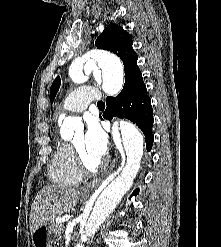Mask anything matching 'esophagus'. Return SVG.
Returning <instances> with one entry per match:
<instances>
[{
	"label": "esophagus",
	"instance_id": "obj_1",
	"mask_svg": "<svg viewBox=\"0 0 221 247\" xmlns=\"http://www.w3.org/2000/svg\"><path fill=\"white\" fill-rule=\"evenodd\" d=\"M113 167H114V164L110 167V169H109V171L107 173H109L112 170ZM102 177L103 176H101L99 178H96V179L92 180L89 184L85 185L82 188V192L83 193H87V192L92 191L94 188H96L100 184V182L102 180Z\"/></svg>",
	"mask_w": 221,
	"mask_h": 247
}]
</instances>
